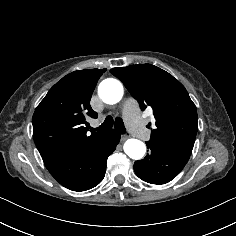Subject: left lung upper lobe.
Wrapping results in <instances>:
<instances>
[{
	"mask_svg": "<svg viewBox=\"0 0 236 236\" xmlns=\"http://www.w3.org/2000/svg\"><path fill=\"white\" fill-rule=\"evenodd\" d=\"M110 72L124 83L142 110L148 106L153 109L156 127L149 142L190 155L198 130L197 111L184 86L151 64L117 67Z\"/></svg>",
	"mask_w": 236,
	"mask_h": 236,
	"instance_id": "1",
	"label": "left lung upper lobe"
}]
</instances>
